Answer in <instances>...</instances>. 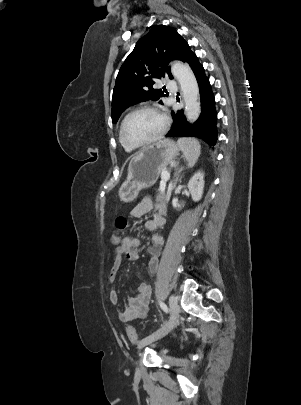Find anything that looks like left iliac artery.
Listing matches in <instances>:
<instances>
[{"mask_svg":"<svg viewBox=\"0 0 301 405\" xmlns=\"http://www.w3.org/2000/svg\"><path fill=\"white\" fill-rule=\"evenodd\" d=\"M160 307L163 309V311H165L166 313L168 312V308L167 306L163 303V302H159Z\"/></svg>","mask_w":301,"mask_h":405,"instance_id":"44dca946","label":"left iliac artery"}]
</instances>
